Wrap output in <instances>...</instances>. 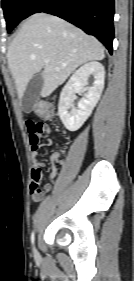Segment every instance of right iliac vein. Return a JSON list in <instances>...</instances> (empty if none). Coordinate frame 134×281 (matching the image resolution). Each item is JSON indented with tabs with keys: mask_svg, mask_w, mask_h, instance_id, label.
Listing matches in <instances>:
<instances>
[{
	"mask_svg": "<svg viewBox=\"0 0 134 281\" xmlns=\"http://www.w3.org/2000/svg\"><path fill=\"white\" fill-rule=\"evenodd\" d=\"M34 255H35V257H38V256H39V253H38V251H37L36 248H34Z\"/></svg>",
	"mask_w": 134,
	"mask_h": 281,
	"instance_id": "63e3f726",
	"label": "right iliac vein"
}]
</instances>
